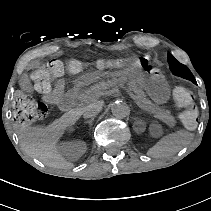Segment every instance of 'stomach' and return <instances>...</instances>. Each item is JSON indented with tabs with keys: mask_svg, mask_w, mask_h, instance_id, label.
Wrapping results in <instances>:
<instances>
[{
	"mask_svg": "<svg viewBox=\"0 0 211 211\" xmlns=\"http://www.w3.org/2000/svg\"><path fill=\"white\" fill-rule=\"evenodd\" d=\"M111 75H122L123 77L129 78L135 83H138L146 90L153 101L158 105L166 103L169 100L170 86L168 85L163 75L151 73L143 69L126 68L120 72L115 73H101L99 71L90 72L85 74L81 80L83 84H89Z\"/></svg>",
	"mask_w": 211,
	"mask_h": 211,
	"instance_id": "1",
	"label": "stomach"
}]
</instances>
